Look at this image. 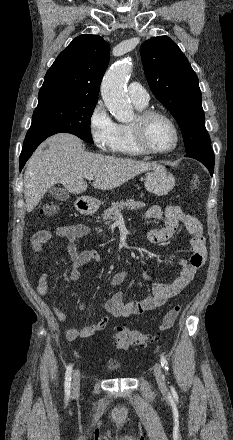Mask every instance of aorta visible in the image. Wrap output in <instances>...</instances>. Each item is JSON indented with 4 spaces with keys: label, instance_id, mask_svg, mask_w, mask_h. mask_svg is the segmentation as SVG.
<instances>
[{
    "label": "aorta",
    "instance_id": "obj_1",
    "mask_svg": "<svg viewBox=\"0 0 233 440\" xmlns=\"http://www.w3.org/2000/svg\"><path fill=\"white\" fill-rule=\"evenodd\" d=\"M131 72V63L123 60L111 67L101 83L102 99L110 113L119 122L133 119V107L125 90L127 76Z\"/></svg>",
    "mask_w": 233,
    "mask_h": 440
}]
</instances>
